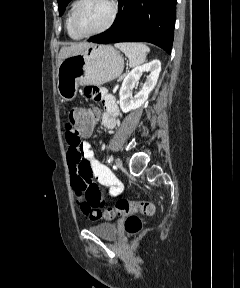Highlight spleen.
Here are the masks:
<instances>
[{
  "label": "spleen",
  "instance_id": "spleen-1",
  "mask_svg": "<svg viewBox=\"0 0 240 288\" xmlns=\"http://www.w3.org/2000/svg\"><path fill=\"white\" fill-rule=\"evenodd\" d=\"M115 47L120 49L129 59L130 67H136L144 63L146 55L150 51L147 45L137 42L116 43Z\"/></svg>",
  "mask_w": 240,
  "mask_h": 288
}]
</instances>
